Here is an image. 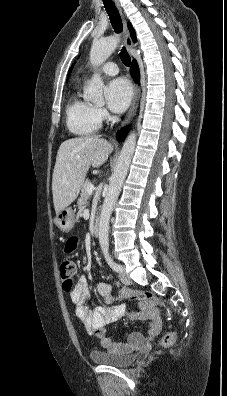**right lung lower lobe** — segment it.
I'll use <instances>...</instances> for the list:
<instances>
[{"label":"right lung lower lobe","mask_w":227,"mask_h":396,"mask_svg":"<svg viewBox=\"0 0 227 396\" xmlns=\"http://www.w3.org/2000/svg\"><path fill=\"white\" fill-rule=\"evenodd\" d=\"M130 73L132 75V77L134 78L135 81H139L140 75H139V68L138 65L136 63V61H133L131 69H130ZM127 133V128L122 129L118 135H117V139L119 141L123 140L125 138V135Z\"/></svg>","instance_id":"98d812e1"}]
</instances>
